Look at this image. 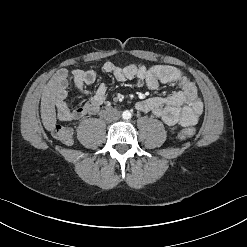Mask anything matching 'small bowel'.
<instances>
[{"instance_id":"obj_1","label":"small bowel","mask_w":247,"mask_h":247,"mask_svg":"<svg viewBox=\"0 0 247 247\" xmlns=\"http://www.w3.org/2000/svg\"><path fill=\"white\" fill-rule=\"evenodd\" d=\"M105 75H112L117 81H134L137 87L146 86L155 90L160 84L174 83L179 91L168 97H152L139 100L135 107L141 113H152L167 125L193 126L200 120L203 104L200 100L195 84L178 68L170 65H156L146 67L142 64L118 66L106 62L101 67ZM97 73L92 70L61 69L55 77L57 88L54 100L57 117L60 121H75L98 112L107 98V86L104 82L98 84L91 95L86 87L93 86ZM72 85L86 98L83 106L71 109L67 104L68 87Z\"/></svg>"}]
</instances>
